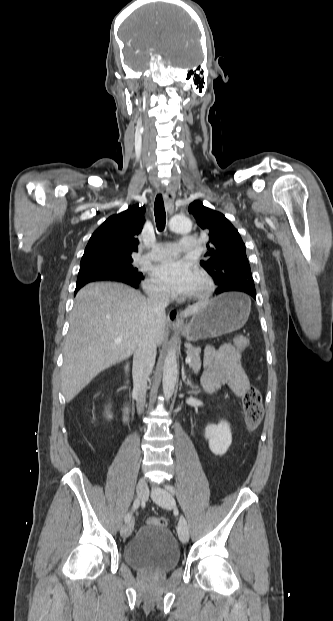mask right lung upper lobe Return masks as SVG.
<instances>
[{"label": "right lung upper lobe", "instance_id": "right-lung-upper-lobe-1", "mask_svg": "<svg viewBox=\"0 0 333 621\" xmlns=\"http://www.w3.org/2000/svg\"><path fill=\"white\" fill-rule=\"evenodd\" d=\"M145 207L134 205L119 214L110 216L92 234L85 248L84 258L131 257L137 252V236L143 228Z\"/></svg>", "mask_w": 333, "mask_h": 621}]
</instances>
